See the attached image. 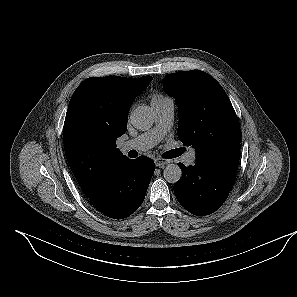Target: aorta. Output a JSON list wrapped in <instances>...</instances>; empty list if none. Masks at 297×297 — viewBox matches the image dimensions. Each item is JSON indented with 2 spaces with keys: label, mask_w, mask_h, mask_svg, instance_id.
<instances>
[{
  "label": "aorta",
  "mask_w": 297,
  "mask_h": 297,
  "mask_svg": "<svg viewBox=\"0 0 297 297\" xmlns=\"http://www.w3.org/2000/svg\"><path fill=\"white\" fill-rule=\"evenodd\" d=\"M154 113L148 106L136 107L130 115L132 125L140 130L149 129L154 123ZM163 176L169 183H176L182 177V170L176 164H168L164 171Z\"/></svg>",
  "instance_id": "aorta-1"
}]
</instances>
